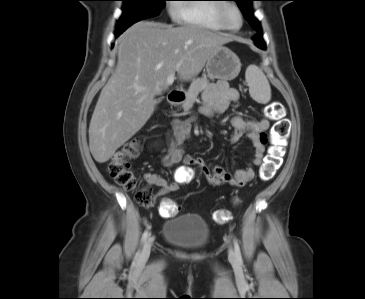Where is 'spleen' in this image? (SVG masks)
I'll use <instances>...</instances> for the list:
<instances>
[{
    "mask_svg": "<svg viewBox=\"0 0 365 299\" xmlns=\"http://www.w3.org/2000/svg\"><path fill=\"white\" fill-rule=\"evenodd\" d=\"M245 79L252 99L261 104H266L270 101L271 88L269 81L258 66L250 65L246 69Z\"/></svg>",
    "mask_w": 365,
    "mask_h": 299,
    "instance_id": "3e777b00",
    "label": "spleen"
}]
</instances>
